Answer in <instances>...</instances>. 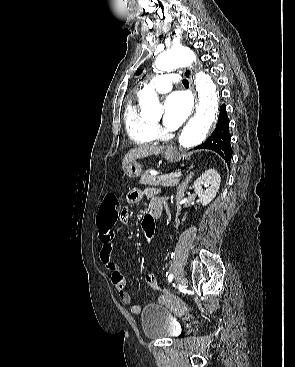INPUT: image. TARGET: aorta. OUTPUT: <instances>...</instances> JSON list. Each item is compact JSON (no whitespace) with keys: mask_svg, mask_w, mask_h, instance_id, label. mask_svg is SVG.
<instances>
[{"mask_svg":"<svg viewBox=\"0 0 295 367\" xmlns=\"http://www.w3.org/2000/svg\"><path fill=\"white\" fill-rule=\"evenodd\" d=\"M195 60L194 53L186 47H174L156 57L155 65L160 71H170L190 65ZM199 104L194 117L183 128L179 144L190 148L201 144L207 137L218 114V91L208 74L199 72L195 78ZM141 116L149 118L162 114L158 97L151 88H144L139 94Z\"/></svg>","mask_w":295,"mask_h":367,"instance_id":"aorta-1","label":"aorta"}]
</instances>
